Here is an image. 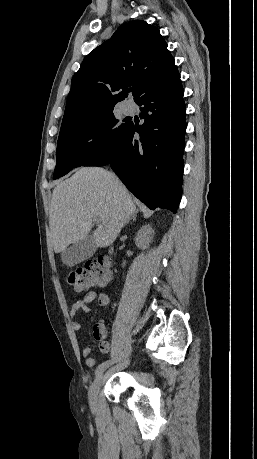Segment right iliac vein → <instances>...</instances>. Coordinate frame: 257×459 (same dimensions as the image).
<instances>
[{
	"instance_id": "obj_1",
	"label": "right iliac vein",
	"mask_w": 257,
	"mask_h": 459,
	"mask_svg": "<svg viewBox=\"0 0 257 459\" xmlns=\"http://www.w3.org/2000/svg\"><path fill=\"white\" fill-rule=\"evenodd\" d=\"M102 379H103V374H100L99 376L96 377V379L93 381V383L90 386V389L88 392V399L92 407H94L97 403V395H98L100 386L102 384Z\"/></svg>"
}]
</instances>
